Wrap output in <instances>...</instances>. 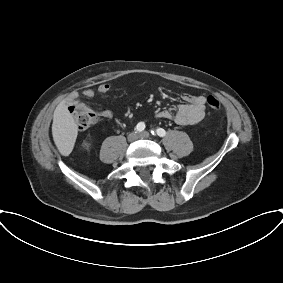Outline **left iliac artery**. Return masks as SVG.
<instances>
[{
	"label": "left iliac artery",
	"instance_id": "1",
	"mask_svg": "<svg viewBox=\"0 0 283 283\" xmlns=\"http://www.w3.org/2000/svg\"><path fill=\"white\" fill-rule=\"evenodd\" d=\"M152 135H158L160 137H164L166 135V131L163 128H157L156 131H151Z\"/></svg>",
	"mask_w": 283,
	"mask_h": 283
}]
</instances>
